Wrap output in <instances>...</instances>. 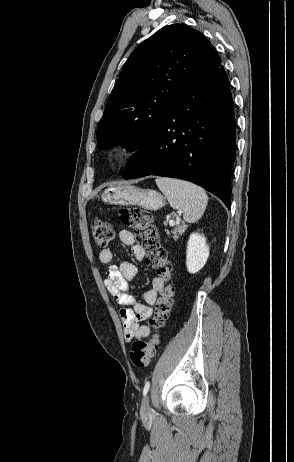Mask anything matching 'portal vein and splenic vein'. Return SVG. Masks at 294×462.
<instances>
[{"label": "portal vein and splenic vein", "mask_w": 294, "mask_h": 462, "mask_svg": "<svg viewBox=\"0 0 294 462\" xmlns=\"http://www.w3.org/2000/svg\"><path fill=\"white\" fill-rule=\"evenodd\" d=\"M169 225H170V226H174V225H175V221H174V220H170V221H169Z\"/></svg>", "instance_id": "18ae733b"}]
</instances>
